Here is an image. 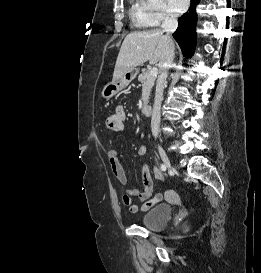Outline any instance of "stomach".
<instances>
[{
  "mask_svg": "<svg viewBox=\"0 0 261 273\" xmlns=\"http://www.w3.org/2000/svg\"><path fill=\"white\" fill-rule=\"evenodd\" d=\"M137 72H138L137 69H133L131 71L126 72L116 82L107 83L102 89L101 96L107 100L110 99L119 91L127 87L128 84L136 77Z\"/></svg>",
  "mask_w": 261,
  "mask_h": 273,
  "instance_id": "stomach-1",
  "label": "stomach"
}]
</instances>
